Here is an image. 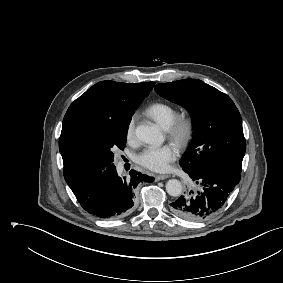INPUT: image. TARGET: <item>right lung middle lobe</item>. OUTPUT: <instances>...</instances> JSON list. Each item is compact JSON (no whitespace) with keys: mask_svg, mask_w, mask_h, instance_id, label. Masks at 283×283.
<instances>
[{"mask_svg":"<svg viewBox=\"0 0 283 283\" xmlns=\"http://www.w3.org/2000/svg\"><path fill=\"white\" fill-rule=\"evenodd\" d=\"M133 114L78 123L69 133L68 145L76 153L94 162L102 171L114 165L112 151L124 148Z\"/></svg>","mask_w":283,"mask_h":283,"instance_id":"obj_1","label":"right lung middle lobe"}]
</instances>
